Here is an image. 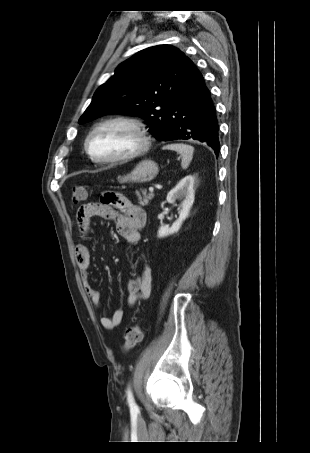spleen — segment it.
Returning a JSON list of instances; mask_svg holds the SVG:
<instances>
[{"label": "spleen", "mask_w": 310, "mask_h": 453, "mask_svg": "<svg viewBox=\"0 0 310 453\" xmlns=\"http://www.w3.org/2000/svg\"><path fill=\"white\" fill-rule=\"evenodd\" d=\"M164 150H173L179 153L182 157L181 167L188 168L192 158L194 147L188 144H169L163 147Z\"/></svg>", "instance_id": "spleen-1"}]
</instances>
